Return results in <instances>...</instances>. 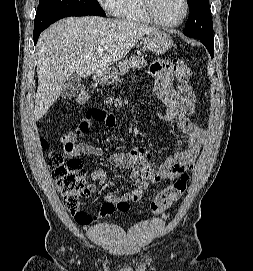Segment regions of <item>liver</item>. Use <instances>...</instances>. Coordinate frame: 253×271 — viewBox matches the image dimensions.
<instances>
[{"mask_svg": "<svg viewBox=\"0 0 253 271\" xmlns=\"http://www.w3.org/2000/svg\"><path fill=\"white\" fill-rule=\"evenodd\" d=\"M153 31L157 29L148 25L97 16L68 17L52 24L36 46L35 120L47 113L69 77L76 74L85 78L104 72ZM99 48L104 51L99 53Z\"/></svg>", "mask_w": 253, "mask_h": 271, "instance_id": "6515ba94", "label": "liver"}]
</instances>
